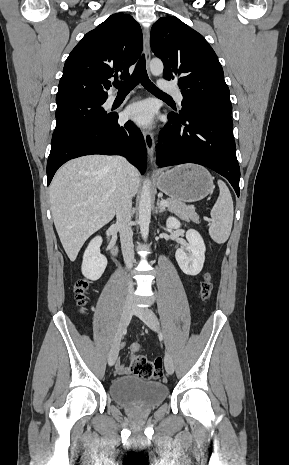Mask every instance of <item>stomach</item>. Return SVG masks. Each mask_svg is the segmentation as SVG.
Here are the masks:
<instances>
[{
  "label": "stomach",
  "mask_w": 289,
  "mask_h": 465,
  "mask_svg": "<svg viewBox=\"0 0 289 465\" xmlns=\"http://www.w3.org/2000/svg\"><path fill=\"white\" fill-rule=\"evenodd\" d=\"M162 192L182 202H196L205 198L213 189V177L202 166L183 164L156 176Z\"/></svg>",
  "instance_id": "0dacf381"
}]
</instances>
